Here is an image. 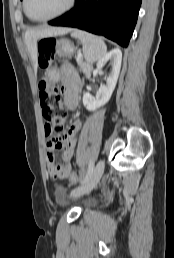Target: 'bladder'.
<instances>
[{"label": "bladder", "instance_id": "1", "mask_svg": "<svg viewBox=\"0 0 174 258\" xmlns=\"http://www.w3.org/2000/svg\"><path fill=\"white\" fill-rule=\"evenodd\" d=\"M54 195L59 204H66L69 202L71 194L63 184H56L54 187ZM95 201L91 198L83 199L77 202V207L82 210L90 209L94 206Z\"/></svg>", "mask_w": 174, "mask_h": 258}]
</instances>
